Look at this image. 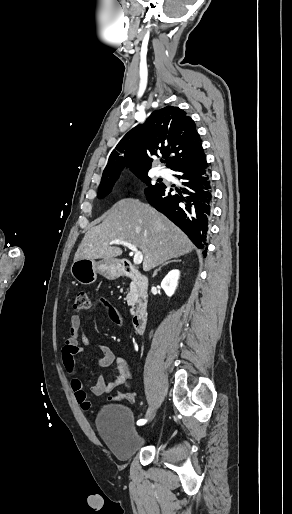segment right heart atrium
Segmentation results:
<instances>
[{"label":"right heart atrium","instance_id":"obj_1","mask_svg":"<svg viewBox=\"0 0 292 514\" xmlns=\"http://www.w3.org/2000/svg\"><path fill=\"white\" fill-rule=\"evenodd\" d=\"M134 189V185L131 183V182H124L123 184L120 185V193L122 195H126V194H129L133 191Z\"/></svg>","mask_w":292,"mask_h":514}]
</instances>
